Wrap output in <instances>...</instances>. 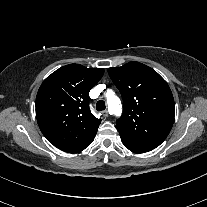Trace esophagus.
<instances>
[{
    "instance_id": "obj_1",
    "label": "esophagus",
    "mask_w": 207,
    "mask_h": 207,
    "mask_svg": "<svg viewBox=\"0 0 207 207\" xmlns=\"http://www.w3.org/2000/svg\"><path fill=\"white\" fill-rule=\"evenodd\" d=\"M103 115H104V117H108L109 112L107 110H105V111H103Z\"/></svg>"
}]
</instances>
